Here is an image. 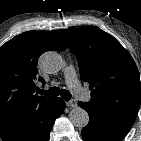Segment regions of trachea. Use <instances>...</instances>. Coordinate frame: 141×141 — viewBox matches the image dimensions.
Segmentation results:
<instances>
[{
    "mask_svg": "<svg viewBox=\"0 0 141 141\" xmlns=\"http://www.w3.org/2000/svg\"><path fill=\"white\" fill-rule=\"evenodd\" d=\"M39 94L48 96V97H53V96H59L61 95L65 101H69L71 99V93L68 90L62 89L58 87H51L48 90H38Z\"/></svg>",
    "mask_w": 141,
    "mask_h": 141,
    "instance_id": "1",
    "label": "trachea"
}]
</instances>
